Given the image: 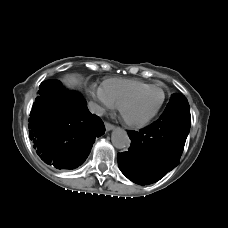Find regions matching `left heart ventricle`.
<instances>
[{"mask_svg":"<svg viewBox=\"0 0 228 228\" xmlns=\"http://www.w3.org/2000/svg\"><path fill=\"white\" fill-rule=\"evenodd\" d=\"M161 99L162 93L160 90H148L126 104L124 114L131 120H141L157 108Z\"/></svg>","mask_w":228,"mask_h":228,"instance_id":"b2bd125f","label":"left heart ventricle"}]
</instances>
